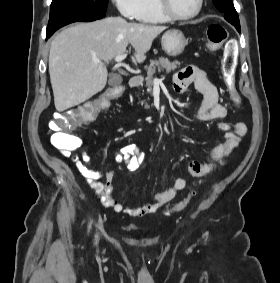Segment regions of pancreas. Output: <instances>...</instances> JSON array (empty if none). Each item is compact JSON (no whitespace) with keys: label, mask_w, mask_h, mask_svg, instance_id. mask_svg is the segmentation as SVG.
I'll list each match as a JSON object with an SVG mask.
<instances>
[{"label":"pancreas","mask_w":280,"mask_h":283,"mask_svg":"<svg viewBox=\"0 0 280 283\" xmlns=\"http://www.w3.org/2000/svg\"><path fill=\"white\" fill-rule=\"evenodd\" d=\"M179 66V61H170L169 59L164 57H160L158 60H151L150 65L147 67V77L145 79V87L147 88V92L150 93L152 91V86L154 83L153 76L156 71L160 72L165 70L167 73H169ZM145 108L148 109L149 105L145 104Z\"/></svg>","instance_id":"cf45deb5"}]
</instances>
